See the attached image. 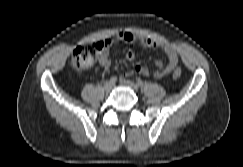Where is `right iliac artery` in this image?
Instances as JSON below:
<instances>
[{"label": "right iliac artery", "instance_id": "1", "mask_svg": "<svg viewBox=\"0 0 243 167\" xmlns=\"http://www.w3.org/2000/svg\"><path fill=\"white\" fill-rule=\"evenodd\" d=\"M110 82H111L112 84H115V83L117 82V77H116V76H112V77L110 78Z\"/></svg>", "mask_w": 243, "mask_h": 167}]
</instances>
